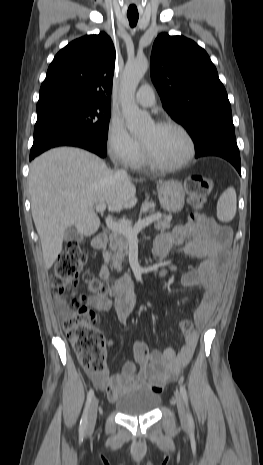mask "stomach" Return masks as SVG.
I'll return each mask as SVG.
<instances>
[{"instance_id":"stomach-1","label":"stomach","mask_w":263,"mask_h":465,"mask_svg":"<svg viewBox=\"0 0 263 465\" xmlns=\"http://www.w3.org/2000/svg\"><path fill=\"white\" fill-rule=\"evenodd\" d=\"M161 206L169 212H180L185 203V192L180 182L169 180L157 186Z\"/></svg>"}]
</instances>
